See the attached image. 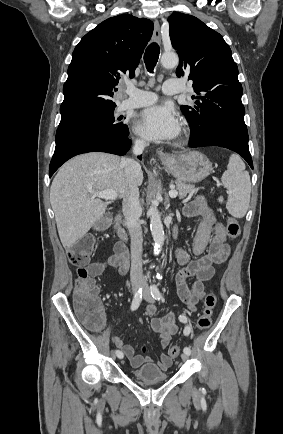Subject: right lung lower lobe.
<instances>
[{
    "mask_svg": "<svg viewBox=\"0 0 283 434\" xmlns=\"http://www.w3.org/2000/svg\"><path fill=\"white\" fill-rule=\"evenodd\" d=\"M127 134L111 131H92L82 133L56 144L54 155L50 162L49 176L68 159L87 152H107L116 155H125L131 146ZM142 159V157H138Z\"/></svg>",
    "mask_w": 283,
    "mask_h": 434,
    "instance_id": "obj_1",
    "label": "right lung lower lobe"
}]
</instances>
